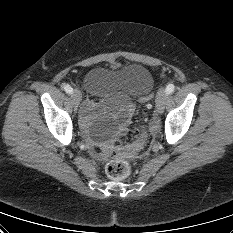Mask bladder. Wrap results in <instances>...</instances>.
<instances>
[{"mask_svg":"<svg viewBox=\"0 0 233 233\" xmlns=\"http://www.w3.org/2000/svg\"><path fill=\"white\" fill-rule=\"evenodd\" d=\"M84 86L93 96L111 99L108 106L101 105L106 114L100 116L91 128L95 137L102 139L122 125L124 109L129 108L130 98H142L151 93L154 79L151 72L140 64H131L120 69L96 67L85 75Z\"/></svg>","mask_w":233,"mask_h":233,"instance_id":"obj_1","label":"bladder"}]
</instances>
